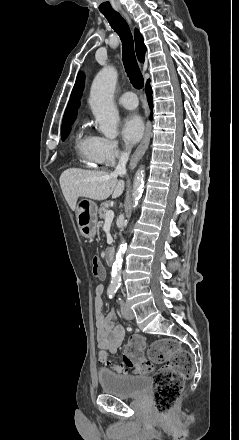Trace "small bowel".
<instances>
[{"mask_svg":"<svg viewBox=\"0 0 239 440\" xmlns=\"http://www.w3.org/2000/svg\"><path fill=\"white\" fill-rule=\"evenodd\" d=\"M104 287L98 285L95 289L94 308L96 320V338L100 351L99 359L103 364H110L109 354H115L121 346L125 329L119 322L116 311L111 310L107 315L102 311Z\"/></svg>","mask_w":239,"mask_h":440,"instance_id":"1","label":"small bowel"}]
</instances>
